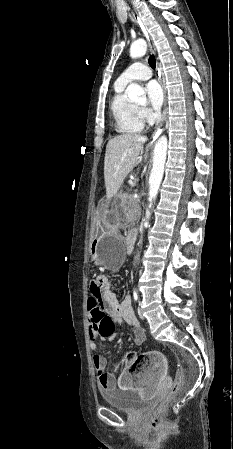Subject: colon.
I'll use <instances>...</instances> for the list:
<instances>
[{
  "mask_svg": "<svg viewBox=\"0 0 233 449\" xmlns=\"http://www.w3.org/2000/svg\"><path fill=\"white\" fill-rule=\"evenodd\" d=\"M85 302L87 304L84 310L86 314L85 322L87 323L88 328H93L94 334H99L100 338H115L116 330L114 329V324L111 321L109 314H106V307H100V301H93L90 297L87 298ZM123 362L128 375H133L142 368L148 367L149 355H139L135 360L124 359ZM184 380V373L182 371H177L166 399L157 408L154 413L155 415H158L181 391ZM123 387H129L128 382H124Z\"/></svg>",
  "mask_w": 233,
  "mask_h": 449,
  "instance_id": "5ec220e1",
  "label": "colon"
}]
</instances>
